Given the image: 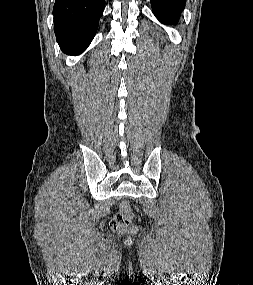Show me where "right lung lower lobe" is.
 <instances>
[{
	"label": "right lung lower lobe",
	"instance_id": "right-lung-lower-lobe-1",
	"mask_svg": "<svg viewBox=\"0 0 253 285\" xmlns=\"http://www.w3.org/2000/svg\"><path fill=\"white\" fill-rule=\"evenodd\" d=\"M104 0H55L54 31L61 50L80 54L94 38Z\"/></svg>",
	"mask_w": 253,
	"mask_h": 285
}]
</instances>
